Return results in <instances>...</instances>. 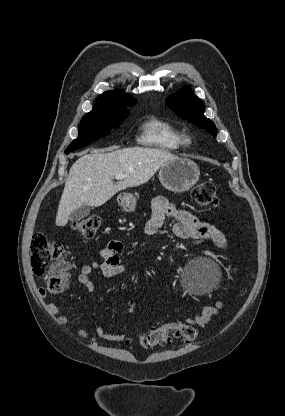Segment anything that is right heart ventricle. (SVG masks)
Here are the masks:
<instances>
[{
    "mask_svg": "<svg viewBox=\"0 0 285 416\" xmlns=\"http://www.w3.org/2000/svg\"><path fill=\"white\" fill-rule=\"evenodd\" d=\"M140 141L155 149L174 151L182 148L183 134L173 123L152 118L143 126Z\"/></svg>",
    "mask_w": 285,
    "mask_h": 416,
    "instance_id": "1",
    "label": "right heart ventricle"
}]
</instances>
